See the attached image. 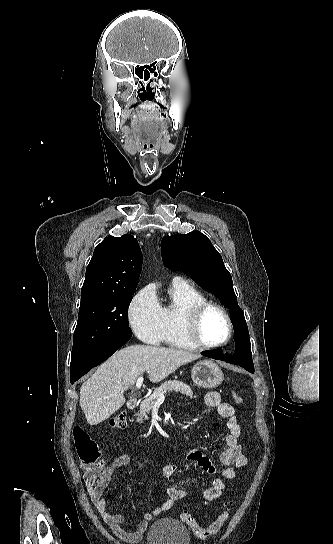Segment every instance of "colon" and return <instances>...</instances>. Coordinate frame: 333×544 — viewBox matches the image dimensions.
<instances>
[{
  "mask_svg": "<svg viewBox=\"0 0 333 544\" xmlns=\"http://www.w3.org/2000/svg\"><path fill=\"white\" fill-rule=\"evenodd\" d=\"M232 398L237 404L243 403V398L237 392H232ZM110 425L116 429H123L127 425L125 412H119L110 420ZM73 438L77 455L84 469V480L90 490L100 488L106 480V467L103 464L102 454L98 444L81 427H75ZM229 517V504H226L218 516L207 526L200 525L188 512L180 513L181 520L186 523L193 534L199 539H208L215 536L224 526Z\"/></svg>",
  "mask_w": 333,
  "mask_h": 544,
  "instance_id": "colon-1",
  "label": "colon"
}]
</instances>
